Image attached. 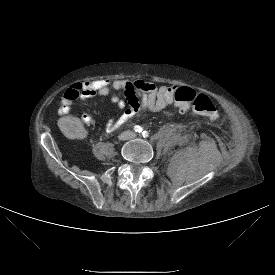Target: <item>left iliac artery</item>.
Segmentation results:
<instances>
[{"label":"left iliac artery","mask_w":275,"mask_h":275,"mask_svg":"<svg viewBox=\"0 0 275 275\" xmlns=\"http://www.w3.org/2000/svg\"><path fill=\"white\" fill-rule=\"evenodd\" d=\"M142 135L144 138H147L149 136V133L147 131H143Z\"/></svg>","instance_id":"44dca946"}]
</instances>
